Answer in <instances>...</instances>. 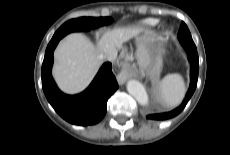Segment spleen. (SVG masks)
I'll return each mask as SVG.
<instances>
[{"label": "spleen", "mask_w": 230, "mask_h": 155, "mask_svg": "<svg viewBox=\"0 0 230 155\" xmlns=\"http://www.w3.org/2000/svg\"><path fill=\"white\" fill-rule=\"evenodd\" d=\"M185 83L180 75H168L159 86V94L168 108L178 106L185 95Z\"/></svg>", "instance_id": "obj_1"}]
</instances>
